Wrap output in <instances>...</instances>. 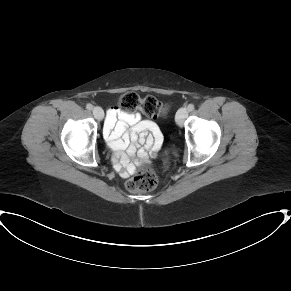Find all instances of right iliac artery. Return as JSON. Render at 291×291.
Returning a JSON list of instances; mask_svg holds the SVG:
<instances>
[{"label":"right iliac artery","instance_id":"right-iliac-artery-1","mask_svg":"<svg viewBox=\"0 0 291 291\" xmlns=\"http://www.w3.org/2000/svg\"><path fill=\"white\" fill-rule=\"evenodd\" d=\"M86 108H87L88 110H92V109H93V105L90 104V103H88V104L86 105Z\"/></svg>","mask_w":291,"mask_h":291}]
</instances>
